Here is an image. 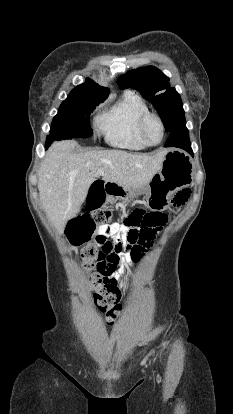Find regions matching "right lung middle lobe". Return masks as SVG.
Returning a JSON list of instances; mask_svg holds the SVG:
<instances>
[{
  "instance_id": "1",
  "label": "right lung middle lobe",
  "mask_w": 233,
  "mask_h": 414,
  "mask_svg": "<svg viewBox=\"0 0 233 414\" xmlns=\"http://www.w3.org/2000/svg\"><path fill=\"white\" fill-rule=\"evenodd\" d=\"M103 101L91 96L71 92L62 102L58 114L54 117L51 131L56 140L71 139L73 137H89L92 135L90 114Z\"/></svg>"
}]
</instances>
